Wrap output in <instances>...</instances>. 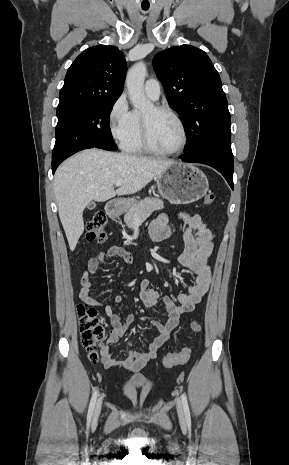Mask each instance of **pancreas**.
Listing matches in <instances>:
<instances>
[{
  "label": "pancreas",
  "instance_id": "pancreas-1",
  "mask_svg": "<svg viewBox=\"0 0 289 465\" xmlns=\"http://www.w3.org/2000/svg\"><path fill=\"white\" fill-rule=\"evenodd\" d=\"M163 201L157 197L144 198L126 210L124 222L129 229L144 222L154 211L163 209Z\"/></svg>",
  "mask_w": 289,
  "mask_h": 465
}]
</instances>
